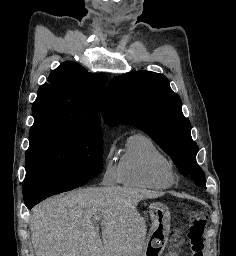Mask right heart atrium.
<instances>
[{"mask_svg":"<svg viewBox=\"0 0 236 256\" xmlns=\"http://www.w3.org/2000/svg\"><path fill=\"white\" fill-rule=\"evenodd\" d=\"M102 184L106 186L116 185L120 182L119 164L116 163L112 149H108L104 155V168Z\"/></svg>","mask_w":236,"mask_h":256,"instance_id":"right-heart-atrium-1","label":"right heart atrium"}]
</instances>
